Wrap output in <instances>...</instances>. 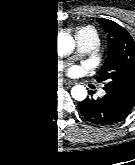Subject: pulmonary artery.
Returning <instances> with one entry per match:
<instances>
[{
  "label": "pulmonary artery",
  "mask_w": 135,
  "mask_h": 165,
  "mask_svg": "<svg viewBox=\"0 0 135 165\" xmlns=\"http://www.w3.org/2000/svg\"><path fill=\"white\" fill-rule=\"evenodd\" d=\"M79 46H80L81 51H84L87 48L88 43L85 40L80 39Z\"/></svg>",
  "instance_id": "obj_1"
}]
</instances>
